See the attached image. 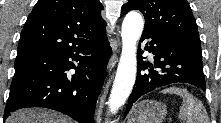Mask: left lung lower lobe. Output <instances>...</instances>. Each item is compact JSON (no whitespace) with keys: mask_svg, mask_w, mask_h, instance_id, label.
Here are the masks:
<instances>
[{"mask_svg":"<svg viewBox=\"0 0 221 123\" xmlns=\"http://www.w3.org/2000/svg\"><path fill=\"white\" fill-rule=\"evenodd\" d=\"M150 38L146 50L154 54V63L143 61L138 51V71L133 91L129 97L125 116L133 104L144 94L159 87L184 82L205 91L201 48L181 44L159 34L144 30L141 41Z\"/></svg>","mask_w":221,"mask_h":123,"instance_id":"1","label":"left lung lower lobe"}]
</instances>
